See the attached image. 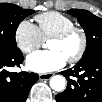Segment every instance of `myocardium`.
I'll list each match as a JSON object with an SVG mask.
<instances>
[{"label": "myocardium", "mask_w": 102, "mask_h": 102, "mask_svg": "<svg viewBox=\"0 0 102 102\" xmlns=\"http://www.w3.org/2000/svg\"><path fill=\"white\" fill-rule=\"evenodd\" d=\"M74 34H79L81 37V45L80 48L78 50V52L72 56L71 58L67 59V62L69 64H74L77 63L78 61H80L82 59V57L85 54V51L87 49V43H88V39H87V35L86 32L83 28L79 27V26H72L56 35H54L51 40H55V41H66L68 40L71 36H73Z\"/></svg>", "instance_id": "1"}]
</instances>
